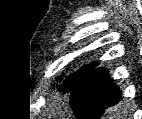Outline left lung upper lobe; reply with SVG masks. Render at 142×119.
Instances as JSON below:
<instances>
[{
    "instance_id": "1",
    "label": "left lung upper lobe",
    "mask_w": 142,
    "mask_h": 119,
    "mask_svg": "<svg viewBox=\"0 0 142 119\" xmlns=\"http://www.w3.org/2000/svg\"><path fill=\"white\" fill-rule=\"evenodd\" d=\"M97 65L98 63H91L85 65L81 67L77 72H74L73 74L69 75L66 78V81L58 87L59 91L64 93L72 92L75 89V87L79 84V82L84 78V76Z\"/></svg>"
}]
</instances>
